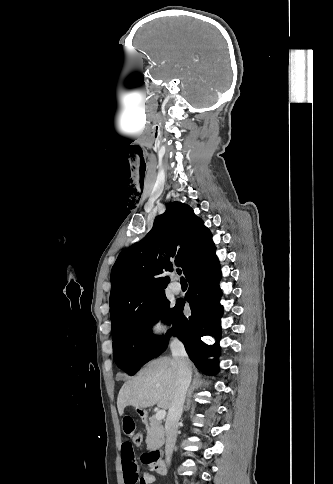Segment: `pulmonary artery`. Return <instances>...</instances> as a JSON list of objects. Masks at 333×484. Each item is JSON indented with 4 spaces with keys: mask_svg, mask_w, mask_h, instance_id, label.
I'll use <instances>...</instances> for the list:
<instances>
[{
    "mask_svg": "<svg viewBox=\"0 0 333 484\" xmlns=\"http://www.w3.org/2000/svg\"><path fill=\"white\" fill-rule=\"evenodd\" d=\"M170 288L175 294H179L182 292V286L178 281L172 282Z\"/></svg>",
    "mask_w": 333,
    "mask_h": 484,
    "instance_id": "e3ab8cb5",
    "label": "pulmonary artery"
}]
</instances>
